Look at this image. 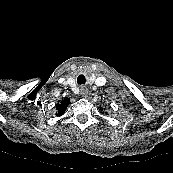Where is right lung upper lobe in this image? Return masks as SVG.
I'll use <instances>...</instances> for the list:
<instances>
[{"mask_svg":"<svg viewBox=\"0 0 173 173\" xmlns=\"http://www.w3.org/2000/svg\"><path fill=\"white\" fill-rule=\"evenodd\" d=\"M70 103V99L66 98L64 100L61 101L60 104L57 105V110L58 112L56 113L58 116H61L65 113L67 106Z\"/></svg>","mask_w":173,"mask_h":173,"instance_id":"obj_1","label":"right lung upper lobe"}]
</instances>
